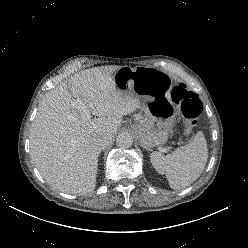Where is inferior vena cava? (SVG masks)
Instances as JSON below:
<instances>
[{
  "mask_svg": "<svg viewBox=\"0 0 248 248\" xmlns=\"http://www.w3.org/2000/svg\"><path fill=\"white\" fill-rule=\"evenodd\" d=\"M110 140L111 138L108 135L101 134L93 139V144L100 150H103L109 145Z\"/></svg>",
  "mask_w": 248,
  "mask_h": 248,
  "instance_id": "602c4592",
  "label": "inferior vena cava"
}]
</instances>
